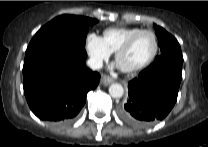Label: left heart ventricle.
I'll list each match as a JSON object with an SVG mask.
<instances>
[{"instance_id": "b2bd125f", "label": "left heart ventricle", "mask_w": 208, "mask_h": 147, "mask_svg": "<svg viewBox=\"0 0 208 147\" xmlns=\"http://www.w3.org/2000/svg\"><path fill=\"white\" fill-rule=\"evenodd\" d=\"M153 37L142 34L136 38L131 47L120 57L119 63L124 66H136L147 61L154 51Z\"/></svg>"}]
</instances>
